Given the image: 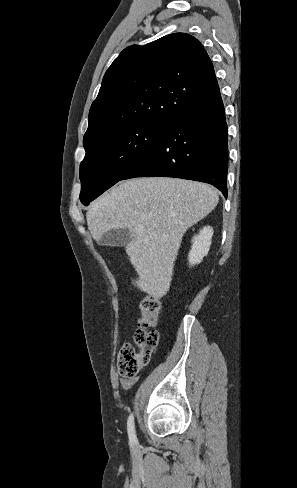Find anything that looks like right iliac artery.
<instances>
[{"instance_id": "1", "label": "right iliac artery", "mask_w": 297, "mask_h": 488, "mask_svg": "<svg viewBox=\"0 0 297 488\" xmlns=\"http://www.w3.org/2000/svg\"><path fill=\"white\" fill-rule=\"evenodd\" d=\"M127 430H128V436H129L130 442L135 443L136 442V434H135V426H134V417H133L132 413L128 417Z\"/></svg>"}]
</instances>
